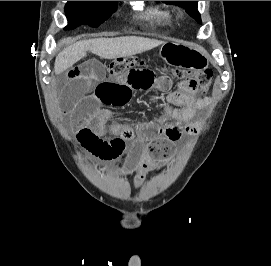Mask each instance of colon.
<instances>
[{
	"label": "colon",
	"mask_w": 271,
	"mask_h": 266,
	"mask_svg": "<svg viewBox=\"0 0 271 266\" xmlns=\"http://www.w3.org/2000/svg\"><path fill=\"white\" fill-rule=\"evenodd\" d=\"M146 62L135 57L121 58L112 61L108 65V72L111 76H118L126 72L135 65H142ZM175 76L181 79V87L189 93H205L209 90L213 73L209 69L186 73L183 71H176Z\"/></svg>",
	"instance_id": "1"
}]
</instances>
